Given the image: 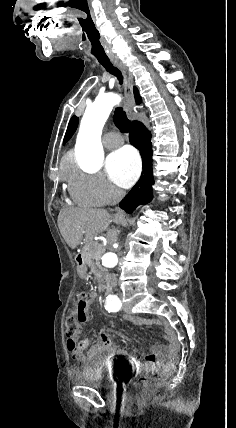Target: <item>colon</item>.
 Segmentation results:
<instances>
[{"label": "colon", "instance_id": "5ec220e1", "mask_svg": "<svg viewBox=\"0 0 236 428\" xmlns=\"http://www.w3.org/2000/svg\"><path fill=\"white\" fill-rule=\"evenodd\" d=\"M90 294L86 290H82L77 294L75 306L71 309L67 321L68 346L75 350L80 346H85L87 343L82 341L77 343V336L80 331V325L87 319V308L89 304ZM178 360L177 353L171 356L167 365L156 372L145 375L141 379V386L145 392H149L160 385L167 377L171 375Z\"/></svg>", "mask_w": 236, "mask_h": 428}]
</instances>
